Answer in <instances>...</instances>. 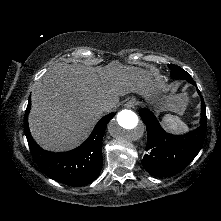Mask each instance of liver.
I'll return each mask as SVG.
<instances>
[{
	"label": "liver",
	"instance_id": "liver-1",
	"mask_svg": "<svg viewBox=\"0 0 221 221\" xmlns=\"http://www.w3.org/2000/svg\"><path fill=\"white\" fill-rule=\"evenodd\" d=\"M136 93L145 99L158 98L159 86L142 68L113 61L106 66L57 63L36 82L32 92L29 127L44 149L64 151L82 143L101 117L99 107L110 110L119 97ZM164 109L182 114L180 97H167Z\"/></svg>",
	"mask_w": 221,
	"mask_h": 221
}]
</instances>
